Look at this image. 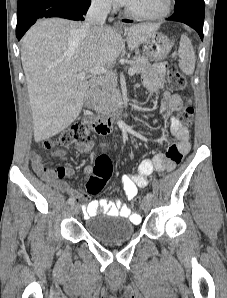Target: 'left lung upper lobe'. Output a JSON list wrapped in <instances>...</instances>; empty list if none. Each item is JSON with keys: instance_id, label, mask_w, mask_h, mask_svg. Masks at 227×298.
Wrapping results in <instances>:
<instances>
[{"instance_id": "left-lung-upper-lobe-1", "label": "left lung upper lobe", "mask_w": 227, "mask_h": 298, "mask_svg": "<svg viewBox=\"0 0 227 298\" xmlns=\"http://www.w3.org/2000/svg\"><path fill=\"white\" fill-rule=\"evenodd\" d=\"M183 0H175L176 3H180L182 2ZM199 1H204V0H199Z\"/></svg>"}]
</instances>
